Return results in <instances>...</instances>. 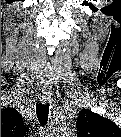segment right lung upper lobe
Wrapping results in <instances>:
<instances>
[{
    "instance_id": "1",
    "label": "right lung upper lobe",
    "mask_w": 121,
    "mask_h": 137,
    "mask_svg": "<svg viewBox=\"0 0 121 137\" xmlns=\"http://www.w3.org/2000/svg\"><path fill=\"white\" fill-rule=\"evenodd\" d=\"M26 133L21 115L16 109L7 108L1 111V136L8 135H23Z\"/></svg>"
}]
</instances>
